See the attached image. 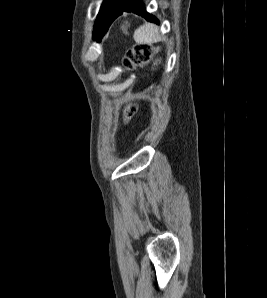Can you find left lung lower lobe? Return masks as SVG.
I'll return each instance as SVG.
<instances>
[{"mask_svg":"<svg viewBox=\"0 0 267 298\" xmlns=\"http://www.w3.org/2000/svg\"><path fill=\"white\" fill-rule=\"evenodd\" d=\"M123 11L133 12L141 15L147 21L158 23V20L153 15L146 12L145 6L141 0H122L99 12L94 25L93 37L100 39L112 22L121 15Z\"/></svg>","mask_w":267,"mask_h":298,"instance_id":"0a47b994","label":"left lung lower lobe"}]
</instances>
